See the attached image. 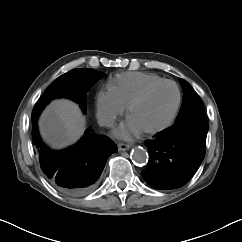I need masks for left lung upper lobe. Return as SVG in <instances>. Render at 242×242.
Instances as JSON below:
<instances>
[{"mask_svg": "<svg viewBox=\"0 0 242 242\" xmlns=\"http://www.w3.org/2000/svg\"><path fill=\"white\" fill-rule=\"evenodd\" d=\"M183 88V102L175 124L163 131L174 135L187 133H207L203 102L192 86L185 80L179 79Z\"/></svg>", "mask_w": 242, "mask_h": 242, "instance_id": "left-lung-upper-lobe-1", "label": "left lung upper lobe"}]
</instances>
